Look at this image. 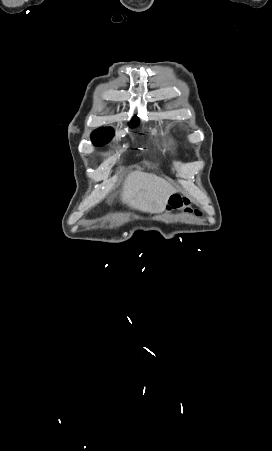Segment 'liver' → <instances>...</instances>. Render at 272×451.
Instances as JSON below:
<instances>
[{"label": "liver", "mask_w": 272, "mask_h": 451, "mask_svg": "<svg viewBox=\"0 0 272 451\" xmlns=\"http://www.w3.org/2000/svg\"><path fill=\"white\" fill-rule=\"evenodd\" d=\"M175 192V188L163 178L145 172H131L120 196L123 204H128L130 208L149 214H161Z\"/></svg>", "instance_id": "obj_1"}]
</instances>
